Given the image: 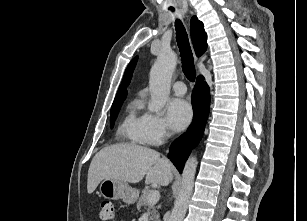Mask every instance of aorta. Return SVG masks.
<instances>
[{"mask_svg": "<svg viewBox=\"0 0 307 221\" xmlns=\"http://www.w3.org/2000/svg\"><path fill=\"white\" fill-rule=\"evenodd\" d=\"M177 65V55L171 50H163L158 55L150 71L149 90L151 101L148 109L159 114L165 106L171 87V78ZM197 158L190 156L182 172V183L175 200L169 221H183L194 187Z\"/></svg>", "mask_w": 307, "mask_h": 221, "instance_id": "762f6f07", "label": "aorta"}]
</instances>
